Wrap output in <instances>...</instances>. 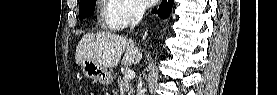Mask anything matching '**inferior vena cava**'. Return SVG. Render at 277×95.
Instances as JSON below:
<instances>
[{"label":"inferior vena cava","mask_w":277,"mask_h":95,"mask_svg":"<svg viewBox=\"0 0 277 95\" xmlns=\"http://www.w3.org/2000/svg\"><path fill=\"white\" fill-rule=\"evenodd\" d=\"M144 12H145V7L143 5L138 4L134 7L131 29H133L140 22ZM142 85H143L142 78L139 76V87H138L137 95H145L146 91L142 88Z\"/></svg>","instance_id":"1"}]
</instances>
